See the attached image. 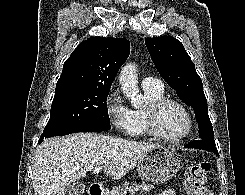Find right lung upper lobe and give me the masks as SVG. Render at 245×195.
Instances as JSON below:
<instances>
[{"mask_svg": "<svg viewBox=\"0 0 245 195\" xmlns=\"http://www.w3.org/2000/svg\"><path fill=\"white\" fill-rule=\"evenodd\" d=\"M127 39L91 37L82 41L63 65L55 92L73 89L110 90L130 53Z\"/></svg>", "mask_w": 245, "mask_h": 195, "instance_id": "right-lung-upper-lobe-1", "label": "right lung upper lobe"}]
</instances>
